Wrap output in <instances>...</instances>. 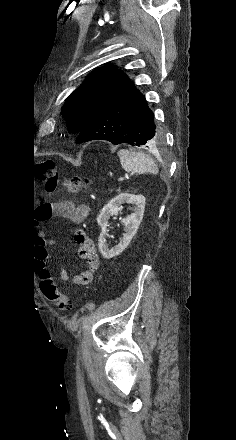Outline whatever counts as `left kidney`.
<instances>
[{
	"label": "left kidney",
	"mask_w": 236,
	"mask_h": 440,
	"mask_svg": "<svg viewBox=\"0 0 236 440\" xmlns=\"http://www.w3.org/2000/svg\"><path fill=\"white\" fill-rule=\"evenodd\" d=\"M145 197L143 195H135L129 193H121L111 199L107 205L103 207L100 214L98 215L97 222L101 227V233L98 239V246L102 256L105 259L113 258L124 251V249L129 245L132 238L136 234L138 227L142 221L144 209H145ZM132 204L133 213L121 220L124 226L125 233L120 239V242L112 247L108 248L106 243L108 220L111 216L117 215L121 209L122 204Z\"/></svg>",
	"instance_id": "obj_1"
}]
</instances>
